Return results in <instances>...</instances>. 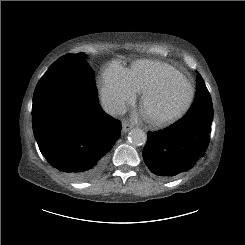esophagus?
Returning <instances> with one entry per match:
<instances>
[{
  "instance_id": "esophagus-1",
  "label": "esophagus",
  "mask_w": 245,
  "mask_h": 245,
  "mask_svg": "<svg viewBox=\"0 0 245 245\" xmlns=\"http://www.w3.org/2000/svg\"><path fill=\"white\" fill-rule=\"evenodd\" d=\"M132 125L128 122H122V132L127 133L130 129H132Z\"/></svg>"
}]
</instances>
